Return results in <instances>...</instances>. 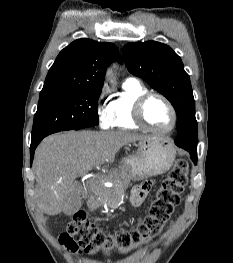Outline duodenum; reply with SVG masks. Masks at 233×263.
<instances>
[{
    "mask_svg": "<svg viewBox=\"0 0 233 263\" xmlns=\"http://www.w3.org/2000/svg\"><path fill=\"white\" fill-rule=\"evenodd\" d=\"M87 204L90 209H96L99 206L95 197L88 198Z\"/></svg>",
    "mask_w": 233,
    "mask_h": 263,
    "instance_id": "duodenum-1",
    "label": "duodenum"
}]
</instances>
